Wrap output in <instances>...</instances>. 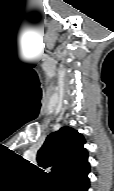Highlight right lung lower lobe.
<instances>
[{"label":"right lung lower lobe","instance_id":"obj_1","mask_svg":"<svg viewBox=\"0 0 114 191\" xmlns=\"http://www.w3.org/2000/svg\"><path fill=\"white\" fill-rule=\"evenodd\" d=\"M90 168L83 172L74 174L62 180L59 183L60 191H87L89 188L88 174Z\"/></svg>","mask_w":114,"mask_h":191}]
</instances>
